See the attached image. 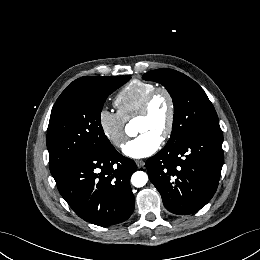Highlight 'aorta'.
<instances>
[{
    "label": "aorta",
    "instance_id": "obj_1",
    "mask_svg": "<svg viewBox=\"0 0 260 260\" xmlns=\"http://www.w3.org/2000/svg\"><path fill=\"white\" fill-rule=\"evenodd\" d=\"M135 132L134 127L131 124L126 126V133L133 135ZM148 181V175L143 171H136L131 177V183L133 186L140 188L146 185Z\"/></svg>",
    "mask_w": 260,
    "mask_h": 260
}]
</instances>
